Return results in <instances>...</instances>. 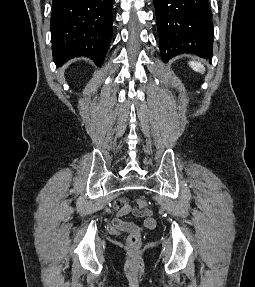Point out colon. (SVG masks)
Returning a JSON list of instances; mask_svg holds the SVG:
<instances>
[{
	"mask_svg": "<svg viewBox=\"0 0 255 287\" xmlns=\"http://www.w3.org/2000/svg\"><path fill=\"white\" fill-rule=\"evenodd\" d=\"M138 206L141 209H144L147 207V202L144 199H139L137 201ZM141 240V235L139 232H132L131 234H129L128 238H127V243L129 246L131 247H135L140 243Z\"/></svg>",
	"mask_w": 255,
	"mask_h": 287,
	"instance_id": "obj_1",
	"label": "colon"
}]
</instances>
